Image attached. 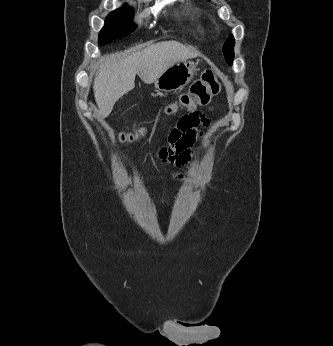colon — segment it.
I'll return each mask as SVG.
<instances>
[{
	"label": "colon",
	"mask_w": 333,
	"mask_h": 346,
	"mask_svg": "<svg viewBox=\"0 0 333 346\" xmlns=\"http://www.w3.org/2000/svg\"><path fill=\"white\" fill-rule=\"evenodd\" d=\"M219 83L217 82L212 70H206L201 78L195 81L188 92L183 93L178 101L169 105L166 109L168 113H176L179 110H184V116L201 115L197 112V106L206 105L210 98L219 92ZM145 129L141 128L133 132L124 134L122 139L128 142H136L143 138Z\"/></svg>",
	"instance_id": "colon-1"
}]
</instances>
